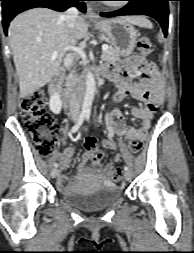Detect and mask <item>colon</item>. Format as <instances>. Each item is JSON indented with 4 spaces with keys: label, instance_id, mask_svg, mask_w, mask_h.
I'll use <instances>...</instances> for the list:
<instances>
[{
    "label": "colon",
    "instance_id": "1",
    "mask_svg": "<svg viewBox=\"0 0 194 253\" xmlns=\"http://www.w3.org/2000/svg\"><path fill=\"white\" fill-rule=\"evenodd\" d=\"M137 54L134 56H147L152 51V43L148 37H141L137 41ZM46 93L39 89L26 95L21 102V116L24 127L33 138L36 150L41 156H48L56 141V121L54 117L45 109ZM98 137H86L85 147L91 151V160L100 162L102 153L96 148ZM142 148V141L133 139L129 143V149L133 154H137ZM122 171L114 168L112 180L119 182Z\"/></svg>",
    "mask_w": 194,
    "mask_h": 253
}]
</instances>
